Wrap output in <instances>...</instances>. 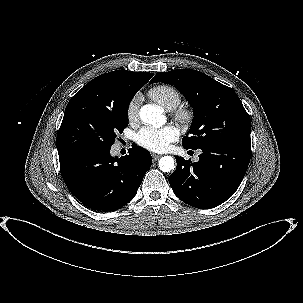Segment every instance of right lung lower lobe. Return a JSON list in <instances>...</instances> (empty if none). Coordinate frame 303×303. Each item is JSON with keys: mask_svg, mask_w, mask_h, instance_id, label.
<instances>
[{"mask_svg": "<svg viewBox=\"0 0 303 303\" xmlns=\"http://www.w3.org/2000/svg\"><path fill=\"white\" fill-rule=\"evenodd\" d=\"M59 161L69 191L88 208L101 212L118 210L131 201L152 164L149 151L136 145L120 158L106 149L59 155Z\"/></svg>", "mask_w": 303, "mask_h": 303, "instance_id": "1", "label": "right lung lower lobe"}]
</instances>
